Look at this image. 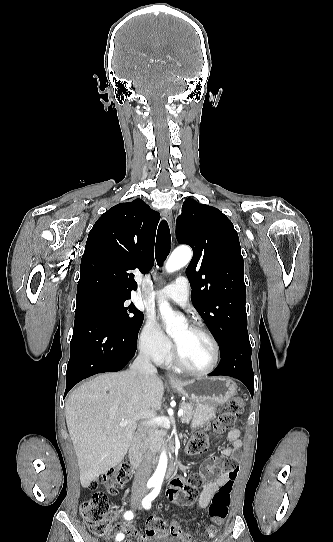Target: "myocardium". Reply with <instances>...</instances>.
Masks as SVG:
<instances>
[{"label":"myocardium","mask_w":333,"mask_h":542,"mask_svg":"<svg viewBox=\"0 0 333 542\" xmlns=\"http://www.w3.org/2000/svg\"><path fill=\"white\" fill-rule=\"evenodd\" d=\"M188 327H189L190 330H192L194 332H197V333H200L201 335L205 336L211 342V344L213 346V351H214V358H213V361H212L211 365L209 367L205 368V369H202V370H197V369H193V368L189 367L180 358V356L176 352L175 347H174L172 342L170 343V348H169V352H168L169 358L183 372H186V373L191 374V375H199V376L207 375V374L213 372L216 369V367L218 366V364H219V361H220V345H219L217 339L215 338V336L209 330H207L205 327L200 326L198 324H191Z\"/></svg>","instance_id":"myocardium-1"}]
</instances>
